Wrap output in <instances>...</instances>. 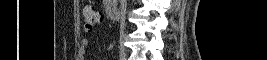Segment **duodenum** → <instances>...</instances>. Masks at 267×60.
Here are the masks:
<instances>
[{
  "mask_svg": "<svg viewBox=\"0 0 267 60\" xmlns=\"http://www.w3.org/2000/svg\"><path fill=\"white\" fill-rule=\"evenodd\" d=\"M116 2H117L116 0L107 1V12L108 16L111 19H116L118 18L119 15V7Z\"/></svg>",
  "mask_w": 267,
  "mask_h": 60,
  "instance_id": "duodenum-1",
  "label": "duodenum"
}]
</instances>
